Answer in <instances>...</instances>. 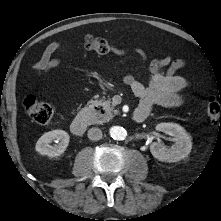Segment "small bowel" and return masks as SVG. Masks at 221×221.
Segmentation results:
<instances>
[{"label":"small bowel","mask_w":221,"mask_h":221,"mask_svg":"<svg viewBox=\"0 0 221 221\" xmlns=\"http://www.w3.org/2000/svg\"><path fill=\"white\" fill-rule=\"evenodd\" d=\"M60 44L50 43L44 50L41 58L34 64L33 69L37 73H44L60 65V59L53 57V54L60 50ZM113 53L118 56L126 55L125 49L116 48ZM136 53L144 60L146 54L138 49ZM183 59L172 60L170 56L151 60L149 65L150 77L149 84L144 85L133 75H126L123 81L128 85L132 92L140 99L137 110L151 111L153 106L161 105L166 107H177L183 103L181 92L188 87V82L176 72L185 66Z\"/></svg>","instance_id":"1"}]
</instances>
